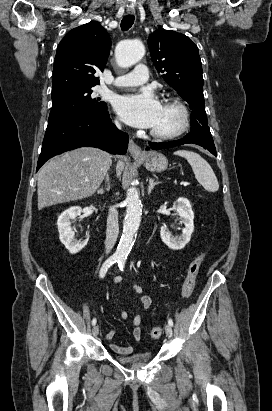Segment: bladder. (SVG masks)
Segmentation results:
<instances>
[{
  "mask_svg": "<svg viewBox=\"0 0 272 411\" xmlns=\"http://www.w3.org/2000/svg\"><path fill=\"white\" fill-rule=\"evenodd\" d=\"M116 360L126 366H141L148 363L152 358V353H133L128 355H116Z\"/></svg>",
  "mask_w": 272,
  "mask_h": 411,
  "instance_id": "bladder-1",
  "label": "bladder"
}]
</instances>
